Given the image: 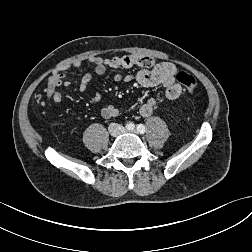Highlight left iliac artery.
I'll return each mask as SVG.
<instances>
[{"instance_id": "left-iliac-artery-1", "label": "left iliac artery", "mask_w": 252, "mask_h": 252, "mask_svg": "<svg viewBox=\"0 0 252 252\" xmlns=\"http://www.w3.org/2000/svg\"><path fill=\"white\" fill-rule=\"evenodd\" d=\"M137 131L140 133V134H144L145 131H146V128L143 124H139L137 125Z\"/></svg>"}]
</instances>
